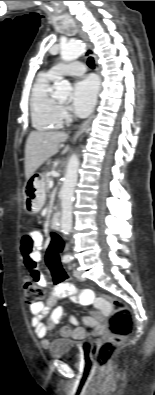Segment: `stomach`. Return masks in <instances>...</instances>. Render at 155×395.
I'll list each match as a JSON object with an SVG mask.
<instances>
[{
	"mask_svg": "<svg viewBox=\"0 0 155 395\" xmlns=\"http://www.w3.org/2000/svg\"><path fill=\"white\" fill-rule=\"evenodd\" d=\"M24 208L30 214L38 213L45 202L44 179L41 175L33 174L26 182L23 189Z\"/></svg>",
	"mask_w": 155,
	"mask_h": 395,
	"instance_id": "obj_1",
	"label": "stomach"
}]
</instances>
